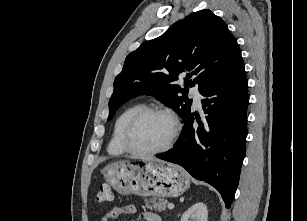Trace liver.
Instances as JSON below:
<instances>
[{"instance_id":"1","label":"liver","mask_w":307,"mask_h":221,"mask_svg":"<svg viewBox=\"0 0 307 221\" xmlns=\"http://www.w3.org/2000/svg\"><path fill=\"white\" fill-rule=\"evenodd\" d=\"M142 160H150V158H142Z\"/></svg>"}]
</instances>
